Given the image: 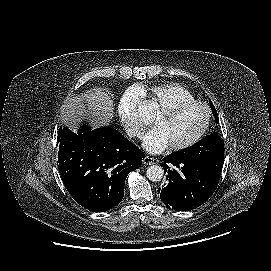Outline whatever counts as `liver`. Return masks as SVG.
<instances>
[{"mask_svg": "<svg viewBox=\"0 0 271 271\" xmlns=\"http://www.w3.org/2000/svg\"><path fill=\"white\" fill-rule=\"evenodd\" d=\"M76 108H86V112L91 114L96 127L108 125L114 116V101L109 91L103 88L88 90L70 100L62 118L70 128L74 126L73 115Z\"/></svg>", "mask_w": 271, "mask_h": 271, "instance_id": "obj_1", "label": "liver"}]
</instances>
